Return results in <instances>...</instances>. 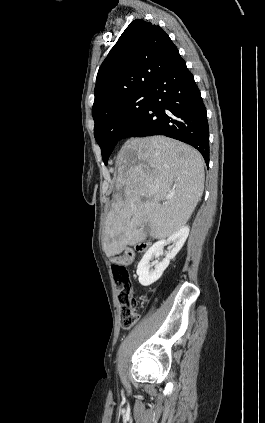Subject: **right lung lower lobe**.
I'll return each instance as SVG.
<instances>
[{
    "instance_id": "right-lung-lower-lobe-1",
    "label": "right lung lower lobe",
    "mask_w": 265,
    "mask_h": 423,
    "mask_svg": "<svg viewBox=\"0 0 265 423\" xmlns=\"http://www.w3.org/2000/svg\"><path fill=\"white\" fill-rule=\"evenodd\" d=\"M150 92L148 106L126 129L121 139L165 135L195 147L208 165L206 108L194 77L179 53L156 78Z\"/></svg>"
}]
</instances>
